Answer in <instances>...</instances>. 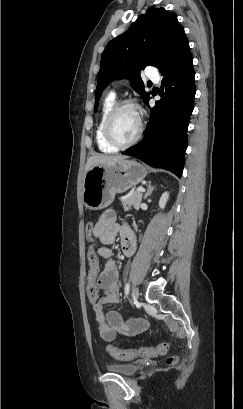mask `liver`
<instances>
[{
	"mask_svg": "<svg viewBox=\"0 0 243 409\" xmlns=\"http://www.w3.org/2000/svg\"><path fill=\"white\" fill-rule=\"evenodd\" d=\"M126 156L123 155H94L88 158L85 172L89 170L91 167L96 165H111L123 159H126Z\"/></svg>",
	"mask_w": 243,
	"mask_h": 409,
	"instance_id": "6515ba94",
	"label": "liver"
}]
</instances>
